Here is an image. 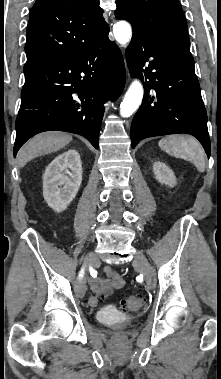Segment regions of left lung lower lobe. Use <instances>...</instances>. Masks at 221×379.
<instances>
[{
	"mask_svg": "<svg viewBox=\"0 0 221 379\" xmlns=\"http://www.w3.org/2000/svg\"><path fill=\"white\" fill-rule=\"evenodd\" d=\"M126 59L130 74L142 80L145 90L131 125L132 148L148 137L187 133L201 142L209 157L207 113L192 55L133 32Z\"/></svg>",
	"mask_w": 221,
	"mask_h": 379,
	"instance_id": "0a47b994",
	"label": "left lung lower lobe"
}]
</instances>
